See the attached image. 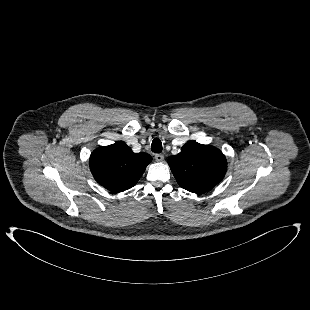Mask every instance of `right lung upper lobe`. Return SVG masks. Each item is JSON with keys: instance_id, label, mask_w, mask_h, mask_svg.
<instances>
[{"instance_id": "obj_1", "label": "right lung upper lobe", "mask_w": 310, "mask_h": 310, "mask_svg": "<svg viewBox=\"0 0 310 310\" xmlns=\"http://www.w3.org/2000/svg\"><path fill=\"white\" fill-rule=\"evenodd\" d=\"M152 157L134 153L122 141L95 149L90 156V169L95 180L106 189L119 193L133 187Z\"/></svg>"}]
</instances>
